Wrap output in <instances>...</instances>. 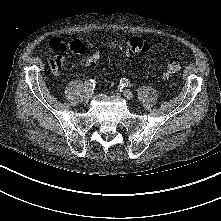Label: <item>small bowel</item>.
Returning a JSON list of instances; mask_svg holds the SVG:
<instances>
[{
    "instance_id": "obj_1",
    "label": "small bowel",
    "mask_w": 221,
    "mask_h": 221,
    "mask_svg": "<svg viewBox=\"0 0 221 221\" xmlns=\"http://www.w3.org/2000/svg\"><path fill=\"white\" fill-rule=\"evenodd\" d=\"M49 47L58 52L49 60V66L55 75L59 74L63 63L65 62V54L68 51L81 56L86 53V46L78 40L66 43L57 38H53L49 42Z\"/></svg>"
}]
</instances>
